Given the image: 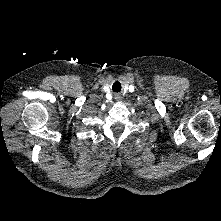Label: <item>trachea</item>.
<instances>
[{"label": "trachea", "mask_w": 221, "mask_h": 221, "mask_svg": "<svg viewBox=\"0 0 221 221\" xmlns=\"http://www.w3.org/2000/svg\"><path fill=\"white\" fill-rule=\"evenodd\" d=\"M116 83H117V82H116ZM116 83L113 84V87H112V90H113V91H115V90H114V85H115Z\"/></svg>", "instance_id": "3493384b"}]
</instances>
